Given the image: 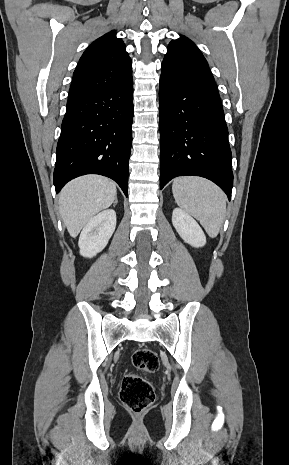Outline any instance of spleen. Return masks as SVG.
<instances>
[{
  "label": "spleen",
  "instance_id": "spleen-1",
  "mask_svg": "<svg viewBox=\"0 0 289 465\" xmlns=\"http://www.w3.org/2000/svg\"><path fill=\"white\" fill-rule=\"evenodd\" d=\"M172 192L176 203L195 217L211 238H215L226 214V196L213 182L195 176L178 177Z\"/></svg>",
  "mask_w": 289,
  "mask_h": 465
}]
</instances>
